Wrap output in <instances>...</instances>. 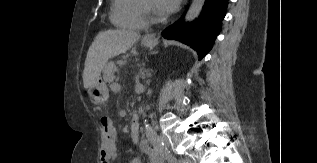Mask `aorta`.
I'll use <instances>...</instances> for the list:
<instances>
[{
  "mask_svg": "<svg viewBox=\"0 0 317 163\" xmlns=\"http://www.w3.org/2000/svg\"><path fill=\"white\" fill-rule=\"evenodd\" d=\"M204 3L205 0H192L191 6L185 16V21L189 22L197 18L204 6Z\"/></svg>",
  "mask_w": 317,
  "mask_h": 163,
  "instance_id": "obj_1",
  "label": "aorta"
}]
</instances>
